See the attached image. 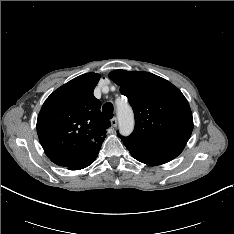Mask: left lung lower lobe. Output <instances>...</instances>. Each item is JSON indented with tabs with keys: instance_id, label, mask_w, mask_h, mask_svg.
Segmentation results:
<instances>
[{
	"instance_id": "1",
	"label": "left lung lower lobe",
	"mask_w": 234,
	"mask_h": 234,
	"mask_svg": "<svg viewBox=\"0 0 234 234\" xmlns=\"http://www.w3.org/2000/svg\"><path fill=\"white\" fill-rule=\"evenodd\" d=\"M121 140L135 159L147 165H160L167 163L177 157L184 148L180 146H145L128 142L122 138Z\"/></svg>"
}]
</instances>
